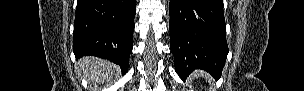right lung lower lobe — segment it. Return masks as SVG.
I'll return each instance as SVG.
<instances>
[{
    "label": "right lung lower lobe",
    "mask_w": 304,
    "mask_h": 91,
    "mask_svg": "<svg viewBox=\"0 0 304 91\" xmlns=\"http://www.w3.org/2000/svg\"><path fill=\"white\" fill-rule=\"evenodd\" d=\"M136 0H78L73 52L108 59L128 71Z\"/></svg>",
    "instance_id": "obj_1"
}]
</instances>
